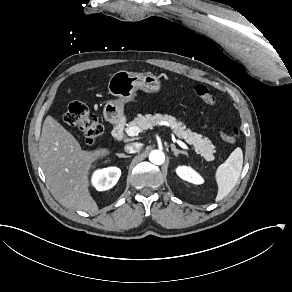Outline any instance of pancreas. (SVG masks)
I'll return each instance as SVG.
<instances>
[{
    "label": "pancreas",
    "mask_w": 292,
    "mask_h": 292,
    "mask_svg": "<svg viewBox=\"0 0 292 292\" xmlns=\"http://www.w3.org/2000/svg\"><path fill=\"white\" fill-rule=\"evenodd\" d=\"M137 121L130 122L128 128L137 127L140 131L153 129L154 126L158 125L160 122L165 121L167 126H169L179 139H184L187 143L192 144L196 148V152L200 153L205 160H213V152L215 146L212 145L208 137L200 136L195 133H190L185 131V127L181 124L175 122V118L172 116L161 114L156 115H139L136 119Z\"/></svg>",
    "instance_id": "pancreas-1"
}]
</instances>
